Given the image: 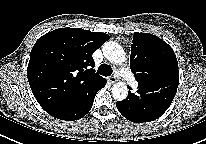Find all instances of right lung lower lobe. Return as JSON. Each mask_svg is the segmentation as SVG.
Returning <instances> with one entry per match:
<instances>
[{"instance_id":"98d812e1","label":"right lung lower lobe","mask_w":206,"mask_h":144,"mask_svg":"<svg viewBox=\"0 0 206 144\" xmlns=\"http://www.w3.org/2000/svg\"><path fill=\"white\" fill-rule=\"evenodd\" d=\"M106 85V80H101L95 87H93L81 100L75 104L59 111L52 115L55 118L73 121L84 117L91 109L96 93Z\"/></svg>"}]
</instances>
